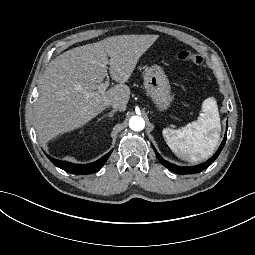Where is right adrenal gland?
Masks as SVG:
<instances>
[{
    "label": "right adrenal gland",
    "instance_id": "2a0ac1e0",
    "mask_svg": "<svg viewBox=\"0 0 255 255\" xmlns=\"http://www.w3.org/2000/svg\"><path fill=\"white\" fill-rule=\"evenodd\" d=\"M116 112V110H111L107 115H104L103 117H101L99 120H97L96 122H95V124H98L101 120H103L104 118H108V120L109 119H111L113 116H112V114L113 113H115Z\"/></svg>",
    "mask_w": 255,
    "mask_h": 255
}]
</instances>
